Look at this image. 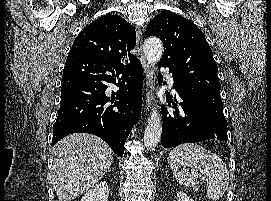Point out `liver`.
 <instances>
[{
    "mask_svg": "<svg viewBox=\"0 0 271 201\" xmlns=\"http://www.w3.org/2000/svg\"><path fill=\"white\" fill-rule=\"evenodd\" d=\"M111 148L99 137L71 134L54 147L50 178L59 201H71L93 187L110 169Z\"/></svg>",
    "mask_w": 271,
    "mask_h": 201,
    "instance_id": "6515ba94",
    "label": "liver"
}]
</instances>
